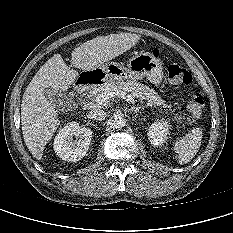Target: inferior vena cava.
Here are the masks:
<instances>
[{
	"label": "inferior vena cava",
	"instance_id": "1",
	"mask_svg": "<svg viewBox=\"0 0 233 233\" xmlns=\"http://www.w3.org/2000/svg\"><path fill=\"white\" fill-rule=\"evenodd\" d=\"M88 117L96 121H102L106 118V112L102 109H92L89 111Z\"/></svg>",
	"mask_w": 233,
	"mask_h": 233
}]
</instances>
